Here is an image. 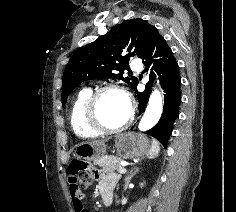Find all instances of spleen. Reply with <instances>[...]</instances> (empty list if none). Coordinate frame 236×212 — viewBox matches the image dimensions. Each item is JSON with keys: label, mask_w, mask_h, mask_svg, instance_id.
Returning <instances> with one entry per match:
<instances>
[{"label": "spleen", "mask_w": 236, "mask_h": 212, "mask_svg": "<svg viewBox=\"0 0 236 212\" xmlns=\"http://www.w3.org/2000/svg\"><path fill=\"white\" fill-rule=\"evenodd\" d=\"M159 151H160L159 143H158V141L153 139L152 145H151L150 151L147 154V157L149 159H154L155 157L158 156Z\"/></svg>", "instance_id": "1"}]
</instances>
